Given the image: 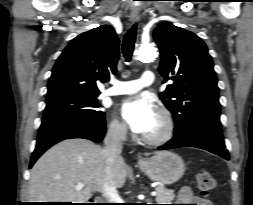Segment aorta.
Returning a JSON list of instances; mask_svg holds the SVG:
<instances>
[{
  "instance_id": "obj_1",
  "label": "aorta",
  "mask_w": 253,
  "mask_h": 205,
  "mask_svg": "<svg viewBox=\"0 0 253 205\" xmlns=\"http://www.w3.org/2000/svg\"><path fill=\"white\" fill-rule=\"evenodd\" d=\"M137 56L145 62L153 61L157 57V49L152 44H144L137 50Z\"/></svg>"
}]
</instances>
